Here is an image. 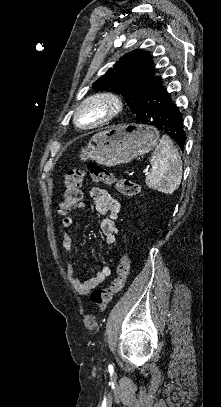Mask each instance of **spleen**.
I'll list each match as a JSON object with an SVG mask.
<instances>
[{
	"label": "spleen",
	"instance_id": "spleen-1",
	"mask_svg": "<svg viewBox=\"0 0 221 407\" xmlns=\"http://www.w3.org/2000/svg\"><path fill=\"white\" fill-rule=\"evenodd\" d=\"M151 172L145 179L146 185L164 194H172L182 179V160L171 139L163 135L153 152Z\"/></svg>",
	"mask_w": 221,
	"mask_h": 407
}]
</instances>
